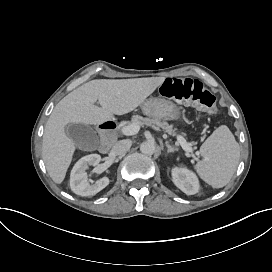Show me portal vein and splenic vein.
<instances>
[{"label":"portal vein and splenic vein","instance_id":"portal-vein-and-splenic-vein-1","mask_svg":"<svg viewBox=\"0 0 272 272\" xmlns=\"http://www.w3.org/2000/svg\"><path fill=\"white\" fill-rule=\"evenodd\" d=\"M140 126L137 123H132L128 126L122 128V133L126 136L135 135L139 132ZM177 142L180 144L182 149L188 153L192 152V147L187 143V141L182 137L178 136Z\"/></svg>","mask_w":272,"mask_h":272}]
</instances>
